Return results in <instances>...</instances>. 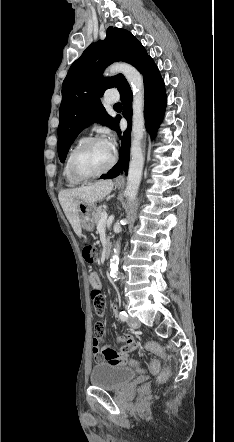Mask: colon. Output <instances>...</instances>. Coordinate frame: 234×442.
Returning <instances> with one entry per match:
<instances>
[{
    "instance_id": "obj_1",
    "label": "colon",
    "mask_w": 234,
    "mask_h": 442,
    "mask_svg": "<svg viewBox=\"0 0 234 442\" xmlns=\"http://www.w3.org/2000/svg\"><path fill=\"white\" fill-rule=\"evenodd\" d=\"M82 253H83L84 259L88 263H94L96 261V259H97L96 249L92 245H85L84 248H83ZM98 281H99L98 275L97 274H91V276H90V284H91V287H92V292H91L92 304H93V307H94L95 311L99 315H102L104 313V311H105V308H106V301H105V298L103 297L101 291L98 290L97 288H95V286L97 285ZM146 348H147V350H149V351L155 353L156 355H158L163 360L168 361V355H167L165 349L160 344L155 343V342H150V343H148L146 345ZM132 362L134 364H137L139 362V359L137 357H134L132 359ZM132 368H135V365H132ZM137 370H140V367H137ZM159 370H160V363L158 362V358L157 357H152L150 359V362H149V371L151 373H157V372H159ZM169 375H170V368L166 367L160 373V375L157 376V383L158 384H167L168 383ZM143 387L144 388H149L150 387V382L149 381H144L143 382Z\"/></svg>"
}]
</instances>
